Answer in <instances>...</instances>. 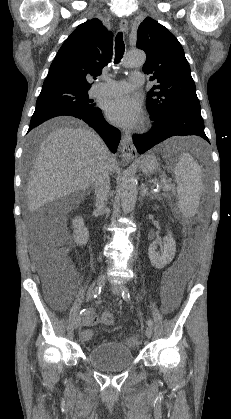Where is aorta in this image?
Here are the masks:
<instances>
[{
  "label": "aorta",
  "mask_w": 231,
  "mask_h": 419,
  "mask_svg": "<svg viewBox=\"0 0 231 419\" xmlns=\"http://www.w3.org/2000/svg\"><path fill=\"white\" fill-rule=\"evenodd\" d=\"M146 61V55L141 50H135L129 52L122 65L125 68L138 67L142 66ZM137 195V181L132 174H126L123 182V191H122V208L125 213H129L135 202Z\"/></svg>",
  "instance_id": "obj_1"
}]
</instances>
